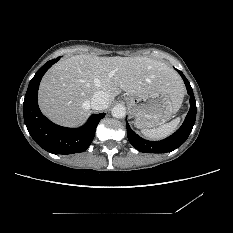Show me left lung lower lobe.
I'll use <instances>...</instances> for the list:
<instances>
[{
    "label": "left lung lower lobe",
    "mask_w": 233,
    "mask_h": 233,
    "mask_svg": "<svg viewBox=\"0 0 233 233\" xmlns=\"http://www.w3.org/2000/svg\"><path fill=\"white\" fill-rule=\"evenodd\" d=\"M177 70V69H176ZM184 80L187 92L190 95V110L185 118L183 125L171 136L161 141H148L138 136L129 126L126 121L128 140L132 146L140 152L144 153H165L171 152L182 145L188 138L196 119V103L192 87L184 76L177 70Z\"/></svg>",
    "instance_id": "obj_1"
}]
</instances>
